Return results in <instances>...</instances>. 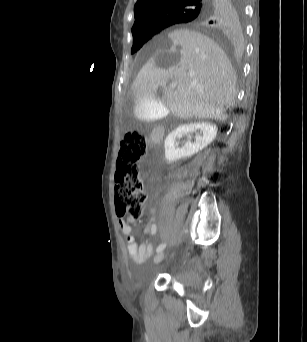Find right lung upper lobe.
<instances>
[{"instance_id":"1","label":"right lung upper lobe","mask_w":307,"mask_h":342,"mask_svg":"<svg viewBox=\"0 0 307 342\" xmlns=\"http://www.w3.org/2000/svg\"><path fill=\"white\" fill-rule=\"evenodd\" d=\"M235 5L234 0H138L132 34L190 23L206 35L225 39L231 32V12ZM187 10L195 14L182 22L171 21L173 15Z\"/></svg>"}]
</instances>
